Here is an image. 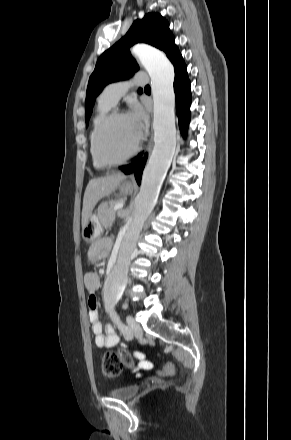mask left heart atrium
Returning a JSON list of instances; mask_svg holds the SVG:
<instances>
[{
	"instance_id": "1",
	"label": "left heart atrium",
	"mask_w": 291,
	"mask_h": 440,
	"mask_svg": "<svg viewBox=\"0 0 291 440\" xmlns=\"http://www.w3.org/2000/svg\"><path fill=\"white\" fill-rule=\"evenodd\" d=\"M138 137L143 133L146 124V116L142 109L138 106H134L126 116Z\"/></svg>"
}]
</instances>
